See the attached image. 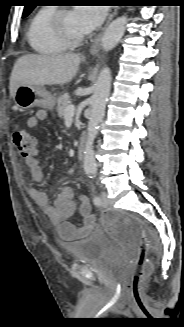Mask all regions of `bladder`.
<instances>
[{
	"instance_id": "bladder-1",
	"label": "bladder",
	"mask_w": 184,
	"mask_h": 327,
	"mask_svg": "<svg viewBox=\"0 0 184 327\" xmlns=\"http://www.w3.org/2000/svg\"><path fill=\"white\" fill-rule=\"evenodd\" d=\"M65 248L75 262L91 263L103 252L112 251L113 243L107 234L96 229L85 238L65 245Z\"/></svg>"
}]
</instances>
